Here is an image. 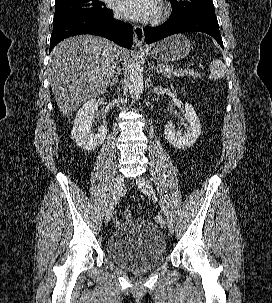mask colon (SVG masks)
I'll list each match as a JSON object with an SVG mask.
<instances>
[{"instance_id": "1", "label": "colon", "mask_w": 272, "mask_h": 303, "mask_svg": "<svg viewBox=\"0 0 272 303\" xmlns=\"http://www.w3.org/2000/svg\"><path fill=\"white\" fill-rule=\"evenodd\" d=\"M173 74L176 77H180V78H193V77H199L202 75V73L200 71H197L190 67H181V66L175 67L173 69ZM131 215H132L131 210H129V209L124 210L125 218H130Z\"/></svg>"}]
</instances>
